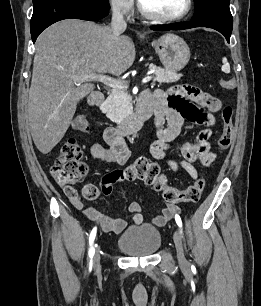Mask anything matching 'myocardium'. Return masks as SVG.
Masks as SVG:
<instances>
[{
    "label": "myocardium",
    "instance_id": "obj_1",
    "mask_svg": "<svg viewBox=\"0 0 261 306\" xmlns=\"http://www.w3.org/2000/svg\"><path fill=\"white\" fill-rule=\"evenodd\" d=\"M193 7V0H186V6L184 8V10L177 14V15H173V16H165V15H161L158 14L150 9H148L141 0H138V8L140 13L145 16L148 19L151 20H155V21H161V22H174V21H178L181 20L183 18H185L191 11Z\"/></svg>",
    "mask_w": 261,
    "mask_h": 306
}]
</instances>
